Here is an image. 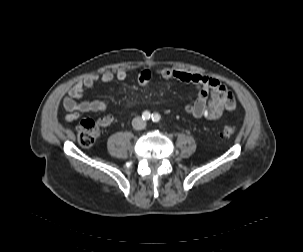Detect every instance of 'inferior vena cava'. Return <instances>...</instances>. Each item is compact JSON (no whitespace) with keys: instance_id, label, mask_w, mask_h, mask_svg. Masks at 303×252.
Instances as JSON below:
<instances>
[{"instance_id":"602c4592","label":"inferior vena cava","mask_w":303,"mask_h":252,"mask_svg":"<svg viewBox=\"0 0 303 252\" xmlns=\"http://www.w3.org/2000/svg\"><path fill=\"white\" fill-rule=\"evenodd\" d=\"M132 126L136 130H142V129L145 128L146 123H145V121L141 117H135L132 120Z\"/></svg>"}]
</instances>
